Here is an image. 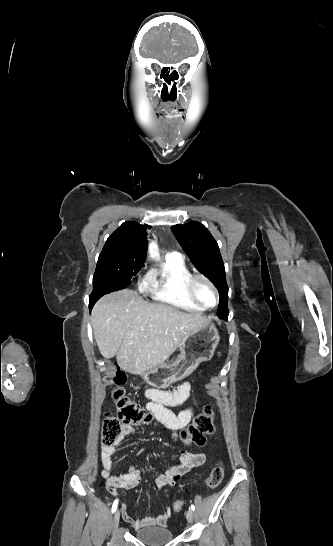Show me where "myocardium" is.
Instances as JSON below:
<instances>
[{
    "label": "myocardium",
    "mask_w": 333,
    "mask_h": 546,
    "mask_svg": "<svg viewBox=\"0 0 333 546\" xmlns=\"http://www.w3.org/2000/svg\"><path fill=\"white\" fill-rule=\"evenodd\" d=\"M197 280H201L203 282H205L207 285H209L214 293H215V297H216V301H215V304L213 306H207L205 305L198 297L197 295L195 294L194 292V283L197 281ZM184 289H185V292L187 294V296L194 302L196 303L198 306L204 308V309H213L215 308L218 304H219V300H220V295H219V291H218V288L216 287V285L213 283V281L208 278L206 275L204 274H201V273H190L189 276L185 279L184 281Z\"/></svg>",
    "instance_id": "f54148a6"
}]
</instances>
